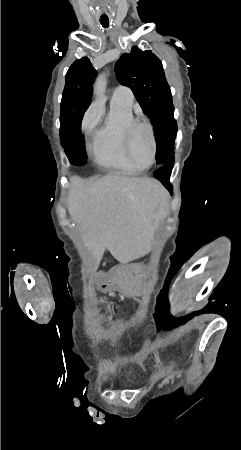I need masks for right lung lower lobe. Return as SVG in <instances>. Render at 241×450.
I'll return each mask as SVG.
<instances>
[{
  "mask_svg": "<svg viewBox=\"0 0 241 450\" xmlns=\"http://www.w3.org/2000/svg\"><path fill=\"white\" fill-rule=\"evenodd\" d=\"M83 115L84 113L74 120L66 135V154H81L85 152L84 142L81 137V121Z\"/></svg>",
  "mask_w": 241,
  "mask_h": 450,
  "instance_id": "obj_1",
  "label": "right lung lower lobe"
}]
</instances>
